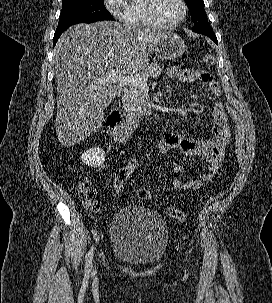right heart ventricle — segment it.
I'll list each match as a JSON object with an SVG mask.
<instances>
[{"instance_id":"obj_1","label":"right heart ventricle","mask_w":272,"mask_h":303,"mask_svg":"<svg viewBox=\"0 0 272 303\" xmlns=\"http://www.w3.org/2000/svg\"><path fill=\"white\" fill-rule=\"evenodd\" d=\"M147 0H128L123 13V21L134 27L152 28L146 12Z\"/></svg>"}]
</instances>
